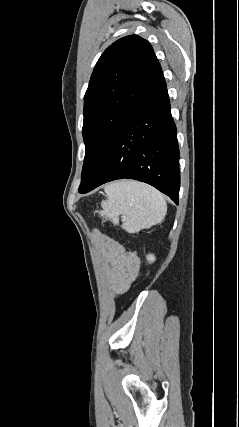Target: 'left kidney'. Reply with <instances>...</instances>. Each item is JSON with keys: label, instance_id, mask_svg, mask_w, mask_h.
<instances>
[{"label": "left kidney", "instance_id": "obj_1", "mask_svg": "<svg viewBox=\"0 0 239 427\" xmlns=\"http://www.w3.org/2000/svg\"><path fill=\"white\" fill-rule=\"evenodd\" d=\"M147 260H148L150 263H152V262H154V261H155V256H154V255H152V254L147 255Z\"/></svg>", "mask_w": 239, "mask_h": 427}]
</instances>
